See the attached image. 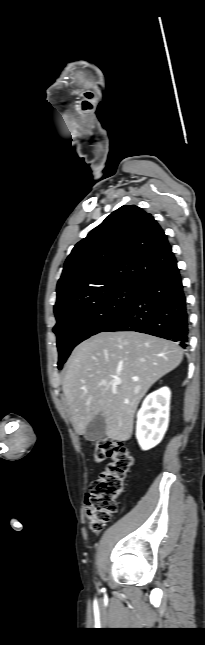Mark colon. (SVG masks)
<instances>
[{
	"instance_id": "1",
	"label": "colon",
	"mask_w": 205,
	"mask_h": 645,
	"mask_svg": "<svg viewBox=\"0 0 205 645\" xmlns=\"http://www.w3.org/2000/svg\"><path fill=\"white\" fill-rule=\"evenodd\" d=\"M97 462L111 459L105 470L93 482L86 497L85 514L92 532H100L117 511V498L123 493L125 481L134 460L122 442L99 439L95 443Z\"/></svg>"
}]
</instances>
